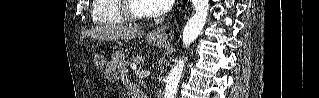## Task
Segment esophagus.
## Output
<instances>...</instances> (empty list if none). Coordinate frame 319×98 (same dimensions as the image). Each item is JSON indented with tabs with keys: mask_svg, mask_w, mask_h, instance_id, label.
Segmentation results:
<instances>
[{
	"mask_svg": "<svg viewBox=\"0 0 319 98\" xmlns=\"http://www.w3.org/2000/svg\"><path fill=\"white\" fill-rule=\"evenodd\" d=\"M170 22H171V19L169 21H167L165 24L161 25L160 27H157L151 33V37L155 38V39L162 40V41L167 42V43L172 42V40L174 38V32L172 31V29L169 26Z\"/></svg>",
	"mask_w": 319,
	"mask_h": 98,
	"instance_id": "obj_1",
	"label": "esophagus"
}]
</instances>
